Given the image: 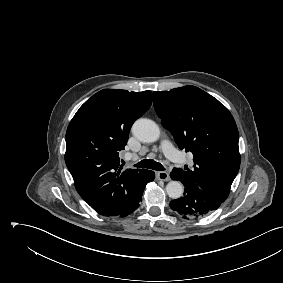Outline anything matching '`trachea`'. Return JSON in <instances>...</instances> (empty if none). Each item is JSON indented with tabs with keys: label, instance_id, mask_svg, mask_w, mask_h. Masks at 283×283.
Returning a JSON list of instances; mask_svg holds the SVG:
<instances>
[{
	"label": "trachea",
	"instance_id": "trachea-1",
	"mask_svg": "<svg viewBox=\"0 0 283 283\" xmlns=\"http://www.w3.org/2000/svg\"><path fill=\"white\" fill-rule=\"evenodd\" d=\"M135 167L138 168H148V169H153L157 171H163L165 168L162 166L161 163H158L152 159H144L137 164L134 165Z\"/></svg>",
	"mask_w": 283,
	"mask_h": 283
}]
</instances>
